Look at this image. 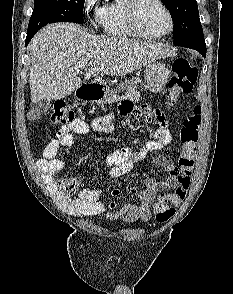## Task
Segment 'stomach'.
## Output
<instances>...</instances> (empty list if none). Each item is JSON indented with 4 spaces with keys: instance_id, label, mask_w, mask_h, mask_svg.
<instances>
[{
    "instance_id": "stomach-1",
    "label": "stomach",
    "mask_w": 233,
    "mask_h": 294,
    "mask_svg": "<svg viewBox=\"0 0 233 294\" xmlns=\"http://www.w3.org/2000/svg\"><path fill=\"white\" fill-rule=\"evenodd\" d=\"M144 73V87L153 93H158L164 89L171 72L164 63L155 61L147 65ZM127 84L132 85L131 82L120 83L117 91L120 93L121 89H125ZM107 89H101L93 99L98 103H112L115 101L110 98V93L107 92Z\"/></svg>"
}]
</instances>
